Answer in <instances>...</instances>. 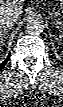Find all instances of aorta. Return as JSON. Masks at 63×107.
<instances>
[{
  "label": "aorta",
  "mask_w": 63,
  "mask_h": 107,
  "mask_svg": "<svg viewBox=\"0 0 63 107\" xmlns=\"http://www.w3.org/2000/svg\"><path fill=\"white\" fill-rule=\"evenodd\" d=\"M25 29L28 34L39 35L44 31V22L40 18H29Z\"/></svg>",
  "instance_id": "aorta-1"
}]
</instances>
